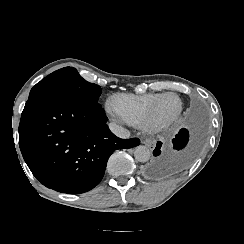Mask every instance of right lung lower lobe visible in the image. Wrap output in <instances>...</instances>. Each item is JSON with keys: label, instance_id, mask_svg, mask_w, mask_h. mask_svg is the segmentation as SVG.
<instances>
[{"label": "right lung lower lobe", "instance_id": "98d812e1", "mask_svg": "<svg viewBox=\"0 0 244 244\" xmlns=\"http://www.w3.org/2000/svg\"><path fill=\"white\" fill-rule=\"evenodd\" d=\"M99 103L59 95L29 96L19 125V146L33 175L46 187L78 194L103 178L110 155L140 144L108 128Z\"/></svg>", "mask_w": 244, "mask_h": 244}]
</instances>
